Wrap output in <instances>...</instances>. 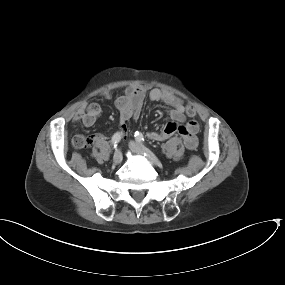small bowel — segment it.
Wrapping results in <instances>:
<instances>
[{"label":"small bowel","instance_id":"1","mask_svg":"<svg viewBox=\"0 0 285 285\" xmlns=\"http://www.w3.org/2000/svg\"><path fill=\"white\" fill-rule=\"evenodd\" d=\"M147 94V88L144 85L128 86L125 93L115 101L116 108L119 112L120 134L127 130V122L137 119L140 116L144 98ZM111 92L106 91L103 96L111 97ZM149 99L152 102L165 103L170 107L169 116L171 121L160 130H152L147 133L149 139L154 141H163L175 134H179L185 147L188 150H194L198 146L197 132L199 130L198 122L190 120L184 123L187 115V107L183 101L171 94L160 89L154 88L149 92ZM102 112V108L97 103H85L79 105L73 113L74 121H81L85 126H92ZM90 144L102 139L101 135H90Z\"/></svg>","mask_w":285,"mask_h":285}]
</instances>
